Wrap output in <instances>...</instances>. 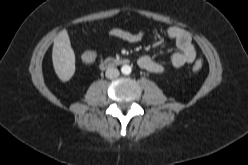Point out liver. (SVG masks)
Wrapping results in <instances>:
<instances>
[{"instance_id": "6515ba94", "label": "liver", "mask_w": 248, "mask_h": 165, "mask_svg": "<svg viewBox=\"0 0 248 165\" xmlns=\"http://www.w3.org/2000/svg\"><path fill=\"white\" fill-rule=\"evenodd\" d=\"M52 61L59 79L63 82L70 80L75 72V54L66 29L54 38Z\"/></svg>"}]
</instances>
